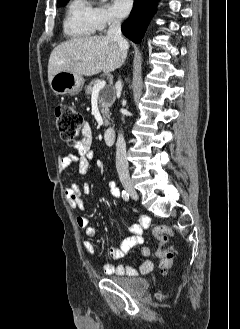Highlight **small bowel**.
<instances>
[{"label": "small bowel", "instance_id": "obj_1", "mask_svg": "<svg viewBox=\"0 0 240 329\" xmlns=\"http://www.w3.org/2000/svg\"><path fill=\"white\" fill-rule=\"evenodd\" d=\"M92 129L88 123H85L82 127V138L80 141L75 143L74 151L75 153H70L67 155H62L58 158L57 170L58 173L63 176L66 174L68 168L76 164L78 171L81 175H88L90 173V161L94 159V152L91 148L92 146ZM109 188L112 196L118 197L119 192L116 189L114 183H109ZM91 191V186L88 183L83 185L72 184L65 189V196L69 206L72 209H79L84 211L83 195L88 194ZM149 219L146 216H141L139 222L130 227V236L126 238L121 244L112 246L109 249L110 255L114 259L124 258L130 249L137 245L143 243V231L147 227ZM76 224L80 229L85 231L88 239L83 243L84 253L91 257L95 251V241L96 230L89 226V219L86 215H78L76 217ZM140 253L144 260L139 265L138 268H134L128 265H113L110 263H103L102 268L107 274H114L118 276H137L145 275L150 273L154 268V263L148 258L150 255V248L148 246L142 245L140 248Z\"/></svg>", "mask_w": 240, "mask_h": 329}]
</instances>
